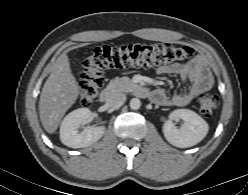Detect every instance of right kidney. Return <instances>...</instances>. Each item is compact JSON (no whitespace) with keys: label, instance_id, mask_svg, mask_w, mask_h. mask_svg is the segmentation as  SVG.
<instances>
[{"label":"right kidney","instance_id":"1","mask_svg":"<svg viewBox=\"0 0 248 195\" xmlns=\"http://www.w3.org/2000/svg\"><path fill=\"white\" fill-rule=\"evenodd\" d=\"M92 113L88 108H79L70 112L62 121L60 139L62 143L71 148L88 147L97 142L105 133L104 126H88L79 132L81 122H89Z\"/></svg>","mask_w":248,"mask_h":195}]
</instances>
